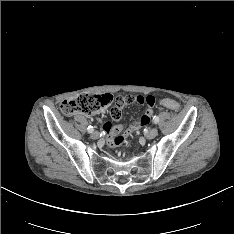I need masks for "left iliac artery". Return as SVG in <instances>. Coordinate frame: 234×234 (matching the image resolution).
Listing matches in <instances>:
<instances>
[{
  "label": "left iliac artery",
  "instance_id": "obj_1",
  "mask_svg": "<svg viewBox=\"0 0 234 234\" xmlns=\"http://www.w3.org/2000/svg\"><path fill=\"white\" fill-rule=\"evenodd\" d=\"M153 122H154L155 124H157V123L159 122V117H158V116H154Z\"/></svg>",
  "mask_w": 234,
  "mask_h": 234
}]
</instances>
